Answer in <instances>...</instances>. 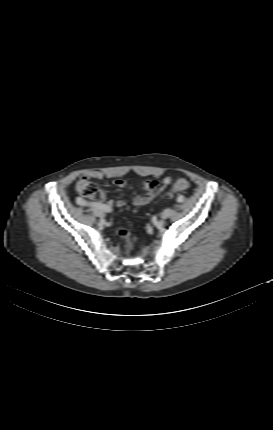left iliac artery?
<instances>
[{
    "instance_id": "obj_1",
    "label": "left iliac artery",
    "mask_w": 273,
    "mask_h": 430,
    "mask_svg": "<svg viewBox=\"0 0 273 430\" xmlns=\"http://www.w3.org/2000/svg\"><path fill=\"white\" fill-rule=\"evenodd\" d=\"M185 200H186V198H185V196H180L178 199H177V201L179 202V203H183V202H185Z\"/></svg>"
}]
</instances>
